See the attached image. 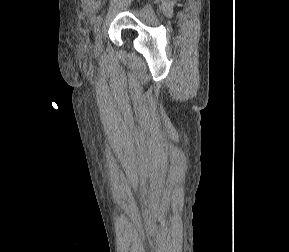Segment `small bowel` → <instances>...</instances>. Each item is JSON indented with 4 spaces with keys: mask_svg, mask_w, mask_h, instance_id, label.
Segmentation results:
<instances>
[{
    "mask_svg": "<svg viewBox=\"0 0 289 252\" xmlns=\"http://www.w3.org/2000/svg\"><path fill=\"white\" fill-rule=\"evenodd\" d=\"M83 11L87 14L97 12L103 5V0H81Z\"/></svg>",
    "mask_w": 289,
    "mask_h": 252,
    "instance_id": "small-bowel-1",
    "label": "small bowel"
}]
</instances>
